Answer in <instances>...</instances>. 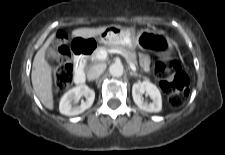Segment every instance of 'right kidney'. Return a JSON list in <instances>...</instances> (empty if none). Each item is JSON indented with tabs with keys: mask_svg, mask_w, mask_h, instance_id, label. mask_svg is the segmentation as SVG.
<instances>
[{
	"mask_svg": "<svg viewBox=\"0 0 225 155\" xmlns=\"http://www.w3.org/2000/svg\"><path fill=\"white\" fill-rule=\"evenodd\" d=\"M84 96L85 101L81 102L79 106H72V102L77 98ZM95 99V92L86 85H79L70 89L61 98L59 110L61 114L67 116H74L83 113L86 109L90 108Z\"/></svg>",
	"mask_w": 225,
	"mask_h": 155,
	"instance_id": "1",
	"label": "right kidney"
}]
</instances>
